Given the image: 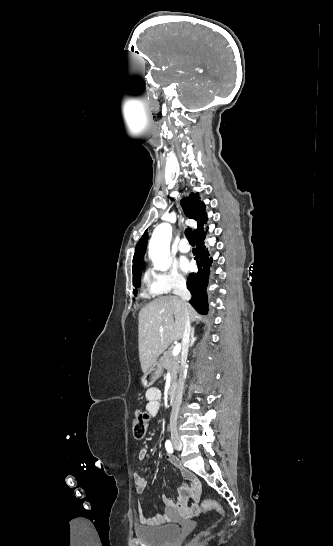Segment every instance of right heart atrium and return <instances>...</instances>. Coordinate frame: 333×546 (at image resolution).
Returning a JSON list of instances; mask_svg holds the SVG:
<instances>
[{"mask_svg":"<svg viewBox=\"0 0 333 546\" xmlns=\"http://www.w3.org/2000/svg\"><path fill=\"white\" fill-rule=\"evenodd\" d=\"M185 286L184 276L174 266L164 272L152 270L149 274V289L154 295H165L180 291Z\"/></svg>","mask_w":333,"mask_h":546,"instance_id":"d8ad5b80","label":"right heart atrium"}]
</instances>
